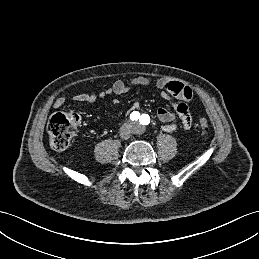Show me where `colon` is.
<instances>
[{
	"instance_id": "colon-1",
	"label": "colon",
	"mask_w": 259,
	"mask_h": 259,
	"mask_svg": "<svg viewBox=\"0 0 259 259\" xmlns=\"http://www.w3.org/2000/svg\"><path fill=\"white\" fill-rule=\"evenodd\" d=\"M79 124V117L72 113H57L53 115L47 126L50 144L55 150L67 149L75 135ZM202 133H206L209 123L206 118H201L198 123Z\"/></svg>"
}]
</instances>
